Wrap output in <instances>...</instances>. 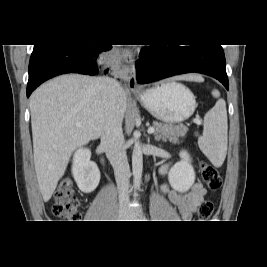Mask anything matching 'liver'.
Masks as SVG:
<instances>
[{
    "mask_svg": "<svg viewBox=\"0 0 267 267\" xmlns=\"http://www.w3.org/2000/svg\"><path fill=\"white\" fill-rule=\"evenodd\" d=\"M176 80L198 81L185 74ZM117 106L122 116L127 97L120 87ZM107 94L102 78L63 75L39 88L30 97L31 126L36 177L44 202H48L63 177L75 149L102 134Z\"/></svg>",
    "mask_w": 267,
    "mask_h": 267,
    "instance_id": "obj_1",
    "label": "liver"
}]
</instances>
